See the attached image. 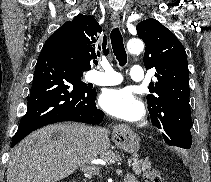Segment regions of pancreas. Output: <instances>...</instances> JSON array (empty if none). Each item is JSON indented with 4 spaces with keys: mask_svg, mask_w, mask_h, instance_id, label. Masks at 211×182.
I'll return each mask as SVG.
<instances>
[{
    "mask_svg": "<svg viewBox=\"0 0 211 182\" xmlns=\"http://www.w3.org/2000/svg\"><path fill=\"white\" fill-rule=\"evenodd\" d=\"M102 159L105 160L108 164H115L120 163L122 161L121 155L119 152L115 151H107L102 154ZM129 167H133V172L137 175L141 174L142 172H146L151 168L150 163L147 160H138L137 156L132 157L128 160ZM98 174V172L96 173Z\"/></svg>",
    "mask_w": 211,
    "mask_h": 182,
    "instance_id": "pancreas-1",
    "label": "pancreas"
}]
</instances>
